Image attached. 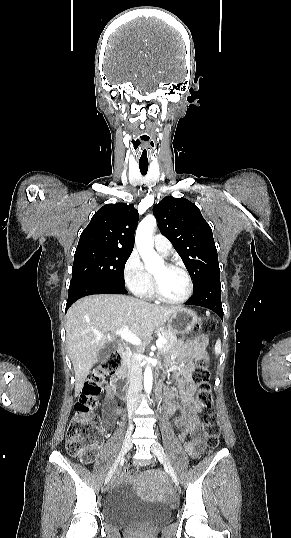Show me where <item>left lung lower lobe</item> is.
I'll return each instance as SVG.
<instances>
[{
    "instance_id": "obj_1",
    "label": "left lung lower lobe",
    "mask_w": 291,
    "mask_h": 538,
    "mask_svg": "<svg viewBox=\"0 0 291 538\" xmlns=\"http://www.w3.org/2000/svg\"><path fill=\"white\" fill-rule=\"evenodd\" d=\"M185 304L206 307L223 319L220 279L209 282L203 288L193 293Z\"/></svg>"
}]
</instances>
